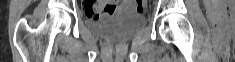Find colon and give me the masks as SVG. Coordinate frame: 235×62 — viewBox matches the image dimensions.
Here are the masks:
<instances>
[{
	"label": "colon",
	"mask_w": 235,
	"mask_h": 62,
	"mask_svg": "<svg viewBox=\"0 0 235 62\" xmlns=\"http://www.w3.org/2000/svg\"><path fill=\"white\" fill-rule=\"evenodd\" d=\"M105 1H99L95 7H88L86 8L87 13L91 17H98L105 14V8H103L100 3ZM137 9L139 11H143L145 9V1L144 0H137Z\"/></svg>",
	"instance_id": "obj_1"
}]
</instances>
